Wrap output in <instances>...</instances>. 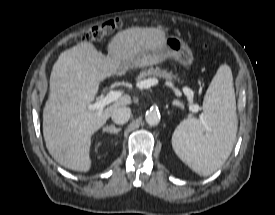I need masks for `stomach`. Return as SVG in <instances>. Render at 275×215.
Listing matches in <instances>:
<instances>
[{
  "mask_svg": "<svg viewBox=\"0 0 275 215\" xmlns=\"http://www.w3.org/2000/svg\"><path fill=\"white\" fill-rule=\"evenodd\" d=\"M174 59L182 66L189 68L193 64V54L189 46L181 39L164 37L153 50L141 52L121 63L120 71L125 72L132 68L146 67L165 59Z\"/></svg>",
  "mask_w": 275,
  "mask_h": 215,
  "instance_id": "1",
  "label": "stomach"
}]
</instances>
